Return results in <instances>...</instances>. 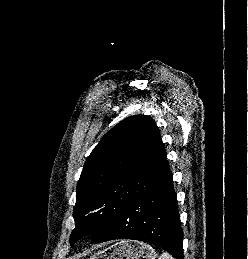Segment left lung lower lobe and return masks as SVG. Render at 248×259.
Here are the masks:
<instances>
[{
  "instance_id": "1",
  "label": "left lung lower lobe",
  "mask_w": 248,
  "mask_h": 259,
  "mask_svg": "<svg viewBox=\"0 0 248 259\" xmlns=\"http://www.w3.org/2000/svg\"><path fill=\"white\" fill-rule=\"evenodd\" d=\"M134 239L155 244L184 259L183 231L170 170L151 190L127 206L91 243Z\"/></svg>"
}]
</instances>
